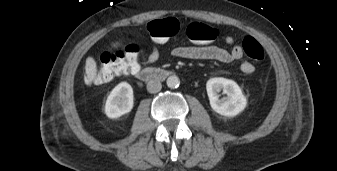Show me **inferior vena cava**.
<instances>
[{"instance_id": "obj_1", "label": "inferior vena cava", "mask_w": 337, "mask_h": 171, "mask_svg": "<svg viewBox=\"0 0 337 171\" xmlns=\"http://www.w3.org/2000/svg\"><path fill=\"white\" fill-rule=\"evenodd\" d=\"M161 88H162V84L159 80L153 79L147 83V90L150 93H157L161 90Z\"/></svg>"}]
</instances>
